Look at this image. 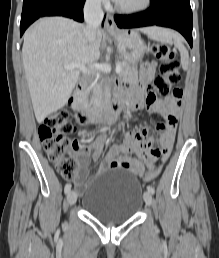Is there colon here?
<instances>
[{"label":"colon","mask_w":219,"mask_h":258,"mask_svg":"<svg viewBox=\"0 0 219 258\" xmlns=\"http://www.w3.org/2000/svg\"><path fill=\"white\" fill-rule=\"evenodd\" d=\"M150 53L161 60L160 73L153 79L152 88L160 96L181 94V90L175 88L181 80L180 64L175 59L171 47L163 43H153ZM75 131L76 126L69 120L65 111L46 116L39 127V137L48 158L55 164L60 175L69 180L76 176L79 167L75 156L77 144L69 138ZM160 170L161 166L155 167L141 177L144 181H149L156 177Z\"/></svg>","instance_id":"obj_1"}]
</instances>
